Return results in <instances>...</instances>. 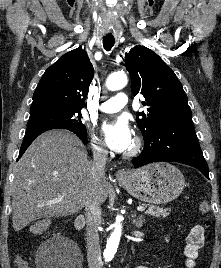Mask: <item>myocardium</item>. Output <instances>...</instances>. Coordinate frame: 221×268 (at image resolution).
Returning <instances> with one entry per match:
<instances>
[{
    "instance_id": "1",
    "label": "myocardium",
    "mask_w": 221,
    "mask_h": 268,
    "mask_svg": "<svg viewBox=\"0 0 221 268\" xmlns=\"http://www.w3.org/2000/svg\"><path fill=\"white\" fill-rule=\"evenodd\" d=\"M142 146H143V141L141 137L136 136L132 147L125 153L124 156L126 158H131V157L138 155L142 149Z\"/></svg>"
}]
</instances>
